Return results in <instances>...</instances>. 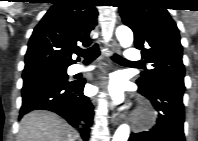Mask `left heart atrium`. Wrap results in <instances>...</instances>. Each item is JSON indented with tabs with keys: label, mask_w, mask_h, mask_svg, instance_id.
<instances>
[{
	"label": "left heart atrium",
	"mask_w": 198,
	"mask_h": 141,
	"mask_svg": "<svg viewBox=\"0 0 198 141\" xmlns=\"http://www.w3.org/2000/svg\"><path fill=\"white\" fill-rule=\"evenodd\" d=\"M109 93L115 102H120L123 99V88L119 80H112L108 87Z\"/></svg>",
	"instance_id": "left-heart-atrium-1"
}]
</instances>
